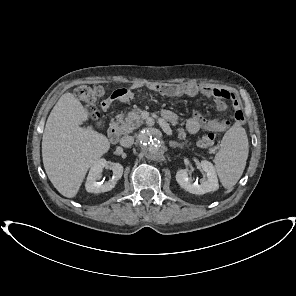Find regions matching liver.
<instances>
[{"label": "liver", "instance_id": "1", "mask_svg": "<svg viewBox=\"0 0 296 296\" xmlns=\"http://www.w3.org/2000/svg\"><path fill=\"white\" fill-rule=\"evenodd\" d=\"M89 112L72 93L53 107L42 137L44 169L53 186L67 198L77 195L88 169L108 152V138L80 125Z\"/></svg>", "mask_w": 296, "mask_h": 296}]
</instances>
